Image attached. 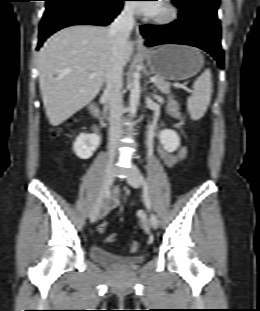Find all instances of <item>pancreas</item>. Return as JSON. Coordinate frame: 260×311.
<instances>
[{"label": "pancreas", "instance_id": "pancreas-1", "mask_svg": "<svg viewBox=\"0 0 260 311\" xmlns=\"http://www.w3.org/2000/svg\"><path fill=\"white\" fill-rule=\"evenodd\" d=\"M155 78L157 79V81L154 82L156 88L161 93H164V94L170 93L171 84L166 82L163 78H161L159 76H155Z\"/></svg>", "mask_w": 260, "mask_h": 311}]
</instances>
